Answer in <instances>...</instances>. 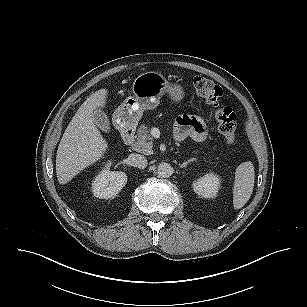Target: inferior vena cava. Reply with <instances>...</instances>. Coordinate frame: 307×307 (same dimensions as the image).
<instances>
[{
  "label": "inferior vena cava",
  "mask_w": 307,
  "mask_h": 307,
  "mask_svg": "<svg viewBox=\"0 0 307 307\" xmlns=\"http://www.w3.org/2000/svg\"><path fill=\"white\" fill-rule=\"evenodd\" d=\"M129 164L138 167L145 168L147 166V159L144 155L130 154L128 157Z\"/></svg>",
  "instance_id": "602c4592"
}]
</instances>
